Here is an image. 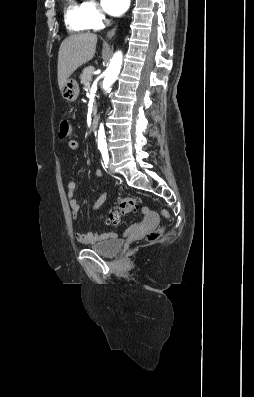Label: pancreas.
<instances>
[{"mask_svg":"<svg viewBox=\"0 0 254 397\" xmlns=\"http://www.w3.org/2000/svg\"><path fill=\"white\" fill-rule=\"evenodd\" d=\"M93 71H94V66L90 65L84 68L80 76L81 84H83L85 88H88L87 83H90V81L92 80Z\"/></svg>","mask_w":254,"mask_h":397,"instance_id":"pancreas-1","label":"pancreas"}]
</instances>
